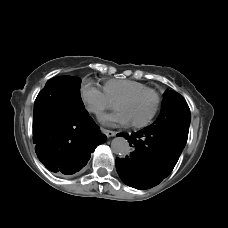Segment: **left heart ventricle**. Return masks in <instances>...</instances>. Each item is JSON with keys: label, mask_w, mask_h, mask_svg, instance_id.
I'll use <instances>...</instances> for the list:
<instances>
[{"label": "left heart ventricle", "mask_w": 228, "mask_h": 228, "mask_svg": "<svg viewBox=\"0 0 228 228\" xmlns=\"http://www.w3.org/2000/svg\"><path fill=\"white\" fill-rule=\"evenodd\" d=\"M155 97L151 93L139 96L135 100L124 105L121 110L131 121L145 119L153 110Z\"/></svg>", "instance_id": "left-heart-ventricle-1"}]
</instances>
